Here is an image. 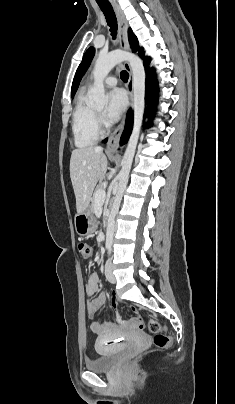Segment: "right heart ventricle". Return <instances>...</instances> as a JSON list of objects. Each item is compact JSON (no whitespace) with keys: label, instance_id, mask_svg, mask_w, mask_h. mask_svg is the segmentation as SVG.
Listing matches in <instances>:
<instances>
[{"label":"right heart ventricle","instance_id":"right-heart-ventricle-1","mask_svg":"<svg viewBox=\"0 0 235 404\" xmlns=\"http://www.w3.org/2000/svg\"><path fill=\"white\" fill-rule=\"evenodd\" d=\"M72 134L75 145L80 148L94 145L101 136L96 111L88 105L84 95L78 97L74 108Z\"/></svg>","mask_w":235,"mask_h":404}]
</instances>
